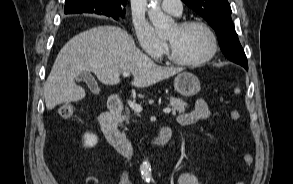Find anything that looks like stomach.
Wrapping results in <instances>:
<instances>
[{
    "label": "stomach",
    "instance_id": "1",
    "mask_svg": "<svg viewBox=\"0 0 293 184\" xmlns=\"http://www.w3.org/2000/svg\"><path fill=\"white\" fill-rule=\"evenodd\" d=\"M174 88L182 96L191 97L200 91V81L192 73L181 72L174 79Z\"/></svg>",
    "mask_w": 293,
    "mask_h": 184
}]
</instances>
